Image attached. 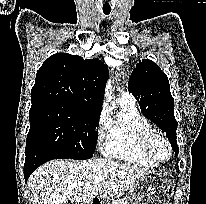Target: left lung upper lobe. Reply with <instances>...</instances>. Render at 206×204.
I'll return each mask as SVG.
<instances>
[{
  "label": "left lung upper lobe",
  "instance_id": "5c2ea615",
  "mask_svg": "<svg viewBox=\"0 0 206 204\" xmlns=\"http://www.w3.org/2000/svg\"><path fill=\"white\" fill-rule=\"evenodd\" d=\"M128 89L139 102L145 117L166 132L177 156V121L174 117V100L170 93L168 77L153 61L144 59L133 69Z\"/></svg>",
  "mask_w": 206,
  "mask_h": 204
}]
</instances>
